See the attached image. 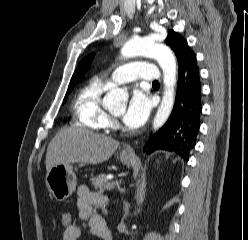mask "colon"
I'll return each instance as SVG.
<instances>
[{
  "label": "colon",
  "mask_w": 248,
  "mask_h": 240,
  "mask_svg": "<svg viewBox=\"0 0 248 240\" xmlns=\"http://www.w3.org/2000/svg\"><path fill=\"white\" fill-rule=\"evenodd\" d=\"M73 223V216L70 212L64 211L60 214V224L65 229Z\"/></svg>",
  "instance_id": "5ec220e1"
}]
</instances>
